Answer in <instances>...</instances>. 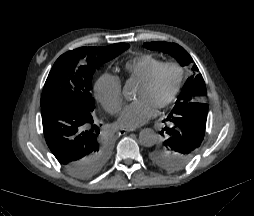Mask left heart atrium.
<instances>
[{"label": "left heart atrium", "instance_id": "obj_1", "mask_svg": "<svg viewBox=\"0 0 254 216\" xmlns=\"http://www.w3.org/2000/svg\"><path fill=\"white\" fill-rule=\"evenodd\" d=\"M155 112V106L150 101L138 99L124 108L117 124L122 128H136L152 118Z\"/></svg>", "mask_w": 254, "mask_h": 216}]
</instances>
